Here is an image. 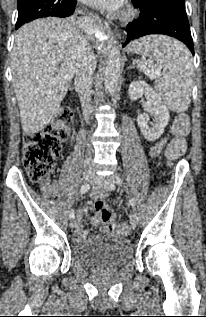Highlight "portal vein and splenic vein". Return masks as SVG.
<instances>
[{"label": "portal vein and splenic vein", "mask_w": 206, "mask_h": 317, "mask_svg": "<svg viewBox=\"0 0 206 317\" xmlns=\"http://www.w3.org/2000/svg\"><path fill=\"white\" fill-rule=\"evenodd\" d=\"M135 62L139 65V67L146 73V75L150 79H155V78L160 76L159 72H151L150 70H148L147 67H146V64L143 61L135 60ZM52 63H56V61L53 60Z\"/></svg>", "instance_id": "18ae733b"}]
</instances>
